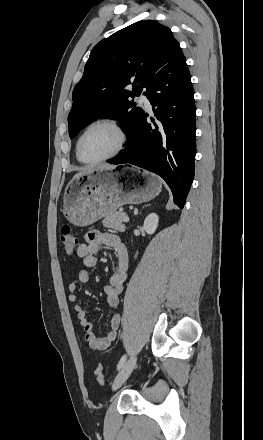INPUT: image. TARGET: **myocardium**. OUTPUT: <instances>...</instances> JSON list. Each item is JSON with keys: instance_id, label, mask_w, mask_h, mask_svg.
<instances>
[{"instance_id": "1", "label": "myocardium", "mask_w": 263, "mask_h": 440, "mask_svg": "<svg viewBox=\"0 0 263 440\" xmlns=\"http://www.w3.org/2000/svg\"><path fill=\"white\" fill-rule=\"evenodd\" d=\"M100 124H107V125L112 126L117 131V133L119 135V143H118L116 149L112 153H110L109 155H107L103 158L97 159V160H86L81 155L82 140H83L84 136L87 134V132L92 127H94L96 125H100ZM127 142H128V134H127L125 127L122 125V123L120 121H118L115 118H111V117L98 118V119L92 121L90 124H88L86 126V128L83 130V132L80 134V136L77 140V144H76V155H77L78 160L84 164H88V165L100 164V163L106 162V161L118 156L126 147Z\"/></svg>"}]
</instances>
